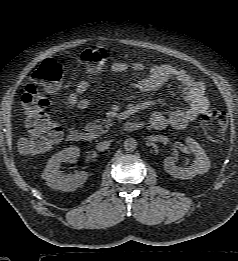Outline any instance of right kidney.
Masks as SVG:
<instances>
[{
    "mask_svg": "<svg viewBox=\"0 0 238 261\" xmlns=\"http://www.w3.org/2000/svg\"><path fill=\"white\" fill-rule=\"evenodd\" d=\"M80 149L77 146H70L56 153L47 162L42 177L46 180L49 187L65 192L75 191L86 182L88 173L86 171L76 172L75 174L64 175L59 171L60 164L70 159L79 157Z\"/></svg>",
    "mask_w": 238,
    "mask_h": 261,
    "instance_id": "right-kidney-1",
    "label": "right kidney"
}]
</instances>
